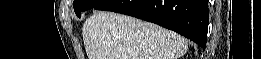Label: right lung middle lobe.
<instances>
[{
    "label": "right lung middle lobe",
    "mask_w": 261,
    "mask_h": 59,
    "mask_svg": "<svg viewBox=\"0 0 261 59\" xmlns=\"http://www.w3.org/2000/svg\"><path fill=\"white\" fill-rule=\"evenodd\" d=\"M105 0H74V11L78 17H81V12L94 8Z\"/></svg>",
    "instance_id": "dd1d6c3e"
}]
</instances>
